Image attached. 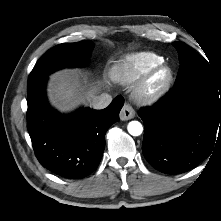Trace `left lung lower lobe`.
Returning a JSON list of instances; mask_svg holds the SVG:
<instances>
[{"mask_svg": "<svg viewBox=\"0 0 221 221\" xmlns=\"http://www.w3.org/2000/svg\"><path fill=\"white\" fill-rule=\"evenodd\" d=\"M138 115L145 126L144 157L165 174L194 168L211 154L216 138L221 139V94L203 84L174 86Z\"/></svg>", "mask_w": 221, "mask_h": 221, "instance_id": "0a47b994", "label": "left lung lower lobe"}]
</instances>
